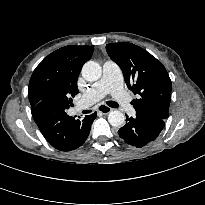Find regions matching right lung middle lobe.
I'll use <instances>...</instances> for the list:
<instances>
[{
    "instance_id": "dd1d6c3e",
    "label": "right lung middle lobe",
    "mask_w": 205,
    "mask_h": 205,
    "mask_svg": "<svg viewBox=\"0 0 205 205\" xmlns=\"http://www.w3.org/2000/svg\"><path fill=\"white\" fill-rule=\"evenodd\" d=\"M74 97L73 95L66 93V92H61L56 94L53 98L57 100L58 104L64 108H69L72 104V98Z\"/></svg>"
}]
</instances>
